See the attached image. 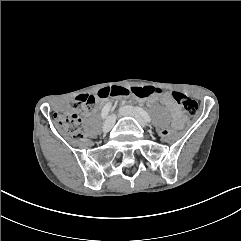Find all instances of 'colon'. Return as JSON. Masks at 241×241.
I'll use <instances>...</instances> for the list:
<instances>
[{
	"instance_id": "colon-1",
	"label": "colon",
	"mask_w": 241,
	"mask_h": 241,
	"mask_svg": "<svg viewBox=\"0 0 241 241\" xmlns=\"http://www.w3.org/2000/svg\"><path fill=\"white\" fill-rule=\"evenodd\" d=\"M153 93H160V89L151 86H112L101 89L96 95L83 94L75 98V100L65 109L55 113V121L59 126L74 138H81L80 131L81 117L84 115L98 99L108 97H124L135 96L137 98H146ZM172 98L178 107L190 116L198 113V104L195 100L189 98L180 92H173ZM173 128L158 127L156 136L160 138H170L174 134Z\"/></svg>"
}]
</instances>
